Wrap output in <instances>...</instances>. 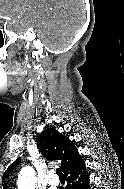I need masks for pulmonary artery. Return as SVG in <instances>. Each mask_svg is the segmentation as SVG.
Instances as JSON below:
<instances>
[{
    "mask_svg": "<svg viewBox=\"0 0 124 189\" xmlns=\"http://www.w3.org/2000/svg\"><path fill=\"white\" fill-rule=\"evenodd\" d=\"M48 184L54 188L55 186H57L59 184V179L55 176V175H50L48 177V180H47Z\"/></svg>",
    "mask_w": 124,
    "mask_h": 189,
    "instance_id": "obj_1",
    "label": "pulmonary artery"
}]
</instances>
